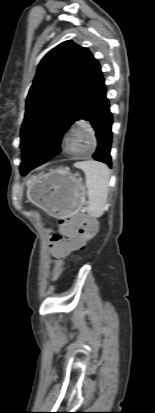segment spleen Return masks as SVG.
I'll list each match as a JSON object with an SVG mask.
<instances>
[{
    "label": "spleen",
    "instance_id": "1",
    "mask_svg": "<svg viewBox=\"0 0 155 413\" xmlns=\"http://www.w3.org/2000/svg\"><path fill=\"white\" fill-rule=\"evenodd\" d=\"M75 167L85 173L88 189L87 212L89 216L99 218L106 209L110 170L105 164L94 160L77 162Z\"/></svg>",
    "mask_w": 155,
    "mask_h": 413
}]
</instances>
